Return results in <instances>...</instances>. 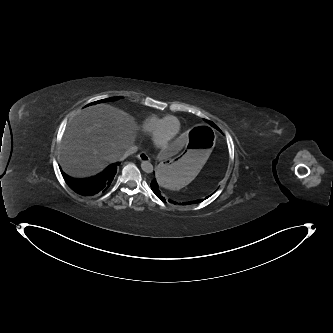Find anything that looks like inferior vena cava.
<instances>
[{"instance_id": "602c4592", "label": "inferior vena cava", "mask_w": 333, "mask_h": 333, "mask_svg": "<svg viewBox=\"0 0 333 333\" xmlns=\"http://www.w3.org/2000/svg\"><path fill=\"white\" fill-rule=\"evenodd\" d=\"M137 150H138V148L136 146H132V147L128 148L122 155H120L116 158V161H123L128 156L136 153Z\"/></svg>"}]
</instances>
